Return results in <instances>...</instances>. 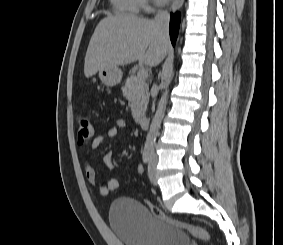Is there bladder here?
<instances>
[{"mask_svg":"<svg viewBox=\"0 0 283 245\" xmlns=\"http://www.w3.org/2000/svg\"><path fill=\"white\" fill-rule=\"evenodd\" d=\"M109 222L125 245H190L185 232L157 218L145 204L131 198L112 202Z\"/></svg>","mask_w":283,"mask_h":245,"instance_id":"1","label":"bladder"}]
</instances>
